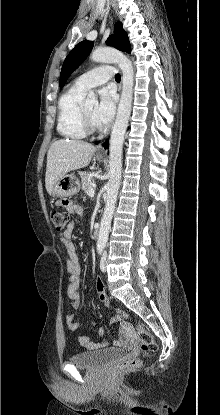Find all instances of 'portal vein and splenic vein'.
Here are the masks:
<instances>
[{"label":"portal vein and splenic vein","mask_w":220,"mask_h":415,"mask_svg":"<svg viewBox=\"0 0 220 415\" xmlns=\"http://www.w3.org/2000/svg\"><path fill=\"white\" fill-rule=\"evenodd\" d=\"M94 187L89 190V193H88L89 196H93L94 195V192H95V188Z\"/></svg>","instance_id":"1"}]
</instances>
